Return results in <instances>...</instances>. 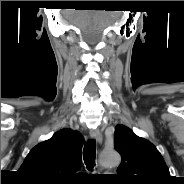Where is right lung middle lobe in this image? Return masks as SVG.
Listing matches in <instances>:
<instances>
[{
  "label": "right lung middle lobe",
  "mask_w": 184,
  "mask_h": 184,
  "mask_svg": "<svg viewBox=\"0 0 184 184\" xmlns=\"http://www.w3.org/2000/svg\"><path fill=\"white\" fill-rule=\"evenodd\" d=\"M32 183H36V184H46V183H42V182H32Z\"/></svg>",
  "instance_id": "dd1d6c3e"
}]
</instances>
